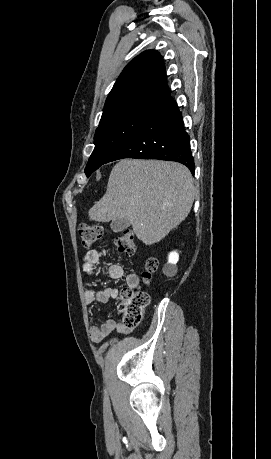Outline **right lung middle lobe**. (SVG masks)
Wrapping results in <instances>:
<instances>
[{
	"label": "right lung middle lobe",
	"instance_id": "1",
	"mask_svg": "<svg viewBox=\"0 0 271 459\" xmlns=\"http://www.w3.org/2000/svg\"><path fill=\"white\" fill-rule=\"evenodd\" d=\"M156 114L149 110L133 109L103 116L95 132L94 151L85 169L87 176L105 164L121 144Z\"/></svg>",
	"mask_w": 271,
	"mask_h": 459
}]
</instances>
